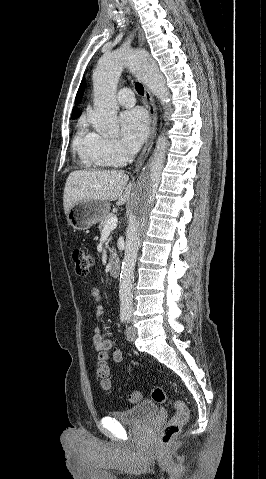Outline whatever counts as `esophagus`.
<instances>
[{
	"label": "esophagus",
	"instance_id": "esophagus-1",
	"mask_svg": "<svg viewBox=\"0 0 266 479\" xmlns=\"http://www.w3.org/2000/svg\"><path fill=\"white\" fill-rule=\"evenodd\" d=\"M138 41H139L140 46H143L145 44L144 33L139 28H138ZM144 90H145L144 96H145L146 104H147L148 111H149V117H150V133H149V137L146 141V144H145L141 154L139 155V157L136 161V165H135V170L136 171H138L142 167V165L144 164L147 156L149 155V153L152 149L153 143H154L156 132H157L158 117H157L156 106H155L153 97L151 95V92L146 85H144Z\"/></svg>",
	"mask_w": 266,
	"mask_h": 479
}]
</instances>
